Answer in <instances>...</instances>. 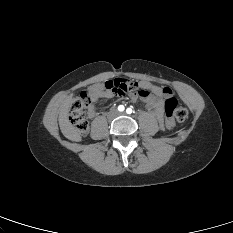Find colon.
I'll return each instance as SVG.
<instances>
[{
	"mask_svg": "<svg viewBox=\"0 0 233 233\" xmlns=\"http://www.w3.org/2000/svg\"><path fill=\"white\" fill-rule=\"evenodd\" d=\"M104 86L106 89L112 90L115 94L123 95L128 91L136 89L137 82L134 80L117 78L104 82ZM89 104L90 97L87 92L83 91L73 99L70 108L71 122L81 137H85L89 131V124L86 116ZM164 107L166 113L165 126L168 129L174 128L177 122L184 121L188 116L187 109L178 106L177 100L174 97H168Z\"/></svg>",
	"mask_w": 233,
	"mask_h": 233,
	"instance_id": "obj_1",
	"label": "colon"
}]
</instances>
